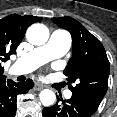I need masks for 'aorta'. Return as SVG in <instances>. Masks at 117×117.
Instances as JSON below:
<instances>
[{"instance_id": "1", "label": "aorta", "mask_w": 117, "mask_h": 117, "mask_svg": "<svg viewBox=\"0 0 117 117\" xmlns=\"http://www.w3.org/2000/svg\"><path fill=\"white\" fill-rule=\"evenodd\" d=\"M27 40L36 46L44 45L49 39L48 28L39 23L32 24L26 32ZM39 98L44 106H51L56 101V95L52 90L44 89L40 92Z\"/></svg>"}]
</instances>
